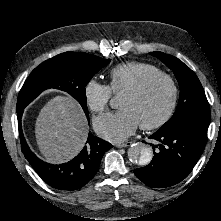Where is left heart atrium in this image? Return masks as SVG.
<instances>
[{
	"label": "left heart atrium",
	"mask_w": 221,
	"mask_h": 221,
	"mask_svg": "<svg viewBox=\"0 0 221 221\" xmlns=\"http://www.w3.org/2000/svg\"><path fill=\"white\" fill-rule=\"evenodd\" d=\"M139 126V121L129 110L108 114L95 121L97 132L112 142H122L131 136Z\"/></svg>",
	"instance_id": "obj_1"
}]
</instances>
